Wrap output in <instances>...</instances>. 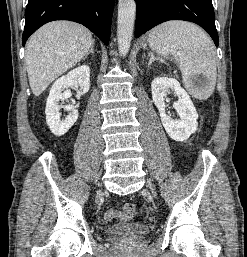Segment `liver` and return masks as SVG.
Listing matches in <instances>:
<instances>
[{
    "label": "liver",
    "mask_w": 247,
    "mask_h": 257,
    "mask_svg": "<svg viewBox=\"0 0 247 257\" xmlns=\"http://www.w3.org/2000/svg\"><path fill=\"white\" fill-rule=\"evenodd\" d=\"M94 44L91 32L71 21H53L38 29L26 48L29 84L35 96L80 62Z\"/></svg>",
    "instance_id": "obj_1"
}]
</instances>
